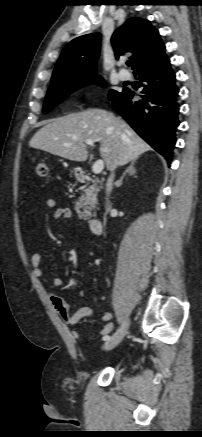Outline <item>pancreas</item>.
Segmentation results:
<instances>
[{
    "instance_id": "cf45deb5",
    "label": "pancreas",
    "mask_w": 202,
    "mask_h": 437,
    "mask_svg": "<svg viewBox=\"0 0 202 437\" xmlns=\"http://www.w3.org/2000/svg\"><path fill=\"white\" fill-rule=\"evenodd\" d=\"M99 188L96 183L93 182L92 185L83 189L81 196L75 202V211L80 219L87 220L90 215V209L95 208L97 203V194Z\"/></svg>"
}]
</instances>
